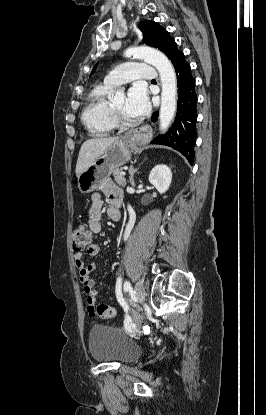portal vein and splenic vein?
<instances>
[{"mask_svg": "<svg viewBox=\"0 0 266 415\" xmlns=\"http://www.w3.org/2000/svg\"><path fill=\"white\" fill-rule=\"evenodd\" d=\"M126 173L125 172H121V175H125Z\"/></svg>", "mask_w": 266, "mask_h": 415, "instance_id": "obj_1", "label": "portal vein and splenic vein"}]
</instances>
